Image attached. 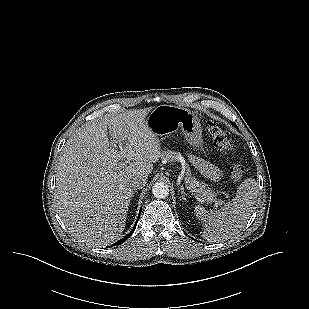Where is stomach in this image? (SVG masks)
<instances>
[{"label":"stomach","instance_id":"obj_1","mask_svg":"<svg viewBox=\"0 0 309 309\" xmlns=\"http://www.w3.org/2000/svg\"><path fill=\"white\" fill-rule=\"evenodd\" d=\"M145 124L157 138L168 137L180 130L193 149L202 146L201 124L197 116L186 108L160 105L150 112Z\"/></svg>","mask_w":309,"mask_h":309}]
</instances>
